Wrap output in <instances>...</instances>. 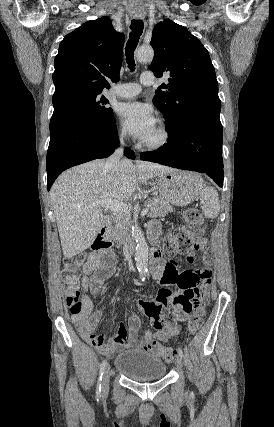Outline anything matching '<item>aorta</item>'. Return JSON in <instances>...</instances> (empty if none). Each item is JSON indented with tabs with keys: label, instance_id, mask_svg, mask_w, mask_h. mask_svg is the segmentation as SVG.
Segmentation results:
<instances>
[{
	"label": "aorta",
	"instance_id": "aorta-1",
	"mask_svg": "<svg viewBox=\"0 0 274 427\" xmlns=\"http://www.w3.org/2000/svg\"><path fill=\"white\" fill-rule=\"evenodd\" d=\"M153 57L154 51L152 47H140L136 54L137 60L143 63L151 62L153 60ZM131 234L133 239L137 243V246L135 248L136 266L140 276L144 277L147 273L149 247L145 240L144 234L142 233L138 225L132 226Z\"/></svg>",
	"mask_w": 274,
	"mask_h": 427
}]
</instances>
